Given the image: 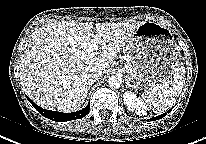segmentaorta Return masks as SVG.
I'll use <instances>...</instances> for the list:
<instances>
[{"instance_id":"obj_1","label":"aorta","mask_w":206,"mask_h":144,"mask_svg":"<svg viewBox=\"0 0 206 144\" xmlns=\"http://www.w3.org/2000/svg\"><path fill=\"white\" fill-rule=\"evenodd\" d=\"M108 84L111 88H119L122 84V79L119 76H111L108 79Z\"/></svg>"}]
</instances>
